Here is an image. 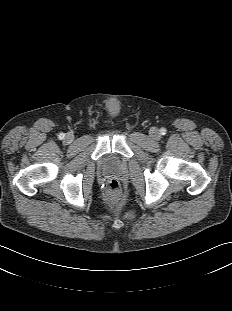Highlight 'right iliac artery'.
Returning <instances> with one entry per match:
<instances>
[{
	"instance_id": "1",
	"label": "right iliac artery",
	"mask_w": 232,
	"mask_h": 311,
	"mask_svg": "<svg viewBox=\"0 0 232 311\" xmlns=\"http://www.w3.org/2000/svg\"><path fill=\"white\" fill-rule=\"evenodd\" d=\"M64 137H65V134H64V133H60V134H59V139H64Z\"/></svg>"
}]
</instances>
